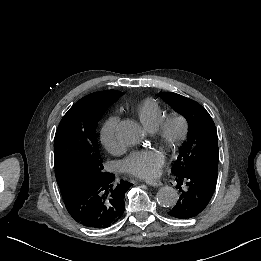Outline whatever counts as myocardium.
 Returning a JSON list of instances; mask_svg holds the SVG:
<instances>
[{"label": "myocardium", "mask_w": 261, "mask_h": 261, "mask_svg": "<svg viewBox=\"0 0 261 261\" xmlns=\"http://www.w3.org/2000/svg\"><path fill=\"white\" fill-rule=\"evenodd\" d=\"M147 129L153 140L160 142L171 157L186 146L191 135L189 119L178 113L165 116L155 127Z\"/></svg>", "instance_id": "f54148a6"}]
</instances>
